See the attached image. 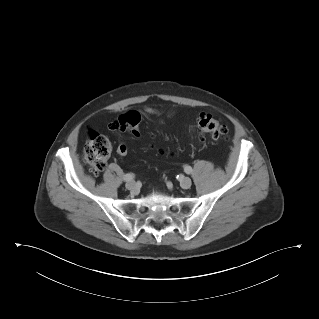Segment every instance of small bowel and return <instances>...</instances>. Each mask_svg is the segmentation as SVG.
I'll use <instances>...</instances> for the list:
<instances>
[{"mask_svg": "<svg viewBox=\"0 0 319 319\" xmlns=\"http://www.w3.org/2000/svg\"><path fill=\"white\" fill-rule=\"evenodd\" d=\"M144 115L147 117V118H149V119H154V120H156L157 122H162V120L161 119H159V116L161 115V112L158 110V109H156V108H152V107H147V108H145L144 109ZM111 129H113V128H111ZM121 145H125V144H119L118 145V148H117V152H118V154L119 155H121V156H124V155H126V153H127V147H126V150H120V146Z\"/></svg>", "mask_w": 319, "mask_h": 319, "instance_id": "obj_1", "label": "small bowel"}]
</instances>
